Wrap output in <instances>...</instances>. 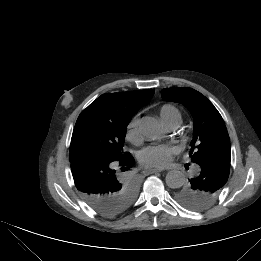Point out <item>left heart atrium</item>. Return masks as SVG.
<instances>
[{
	"label": "left heart atrium",
	"mask_w": 261,
	"mask_h": 261,
	"mask_svg": "<svg viewBox=\"0 0 261 261\" xmlns=\"http://www.w3.org/2000/svg\"><path fill=\"white\" fill-rule=\"evenodd\" d=\"M176 152L177 148L172 144L150 146L141 153V163L146 167L163 168Z\"/></svg>",
	"instance_id": "1"
}]
</instances>
